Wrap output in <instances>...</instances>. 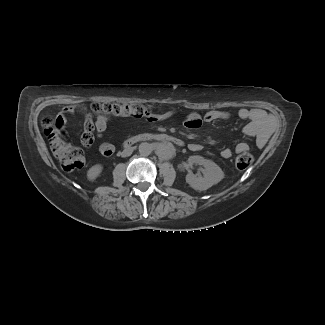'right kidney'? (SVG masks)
Masks as SVG:
<instances>
[{
	"label": "right kidney",
	"instance_id": "ca27d5eb",
	"mask_svg": "<svg viewBox=\"0 0 325 325\" xmlns=\"http://www.w3.org/2000/svg\"><path fill=\"white\" fill-rule=\"evenodd\" d=\"M102 170H103V166L100 164H96L92 166L87 172V178L90 181L95 180L101 174Z\"/></svg>",
	"mask_w": 325,
	"mask_h": 325
}]
</instances>
